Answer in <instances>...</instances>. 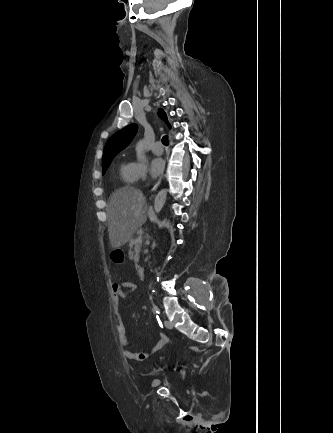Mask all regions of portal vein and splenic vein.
I'll return each mask as SVG.
<instances>
[{"instance_id":"1","label":"portal vein and splenic vein","mask_w":333,"mask_h":433,"mask_svg":"<svg viewBox=\"0 0 333 433\" xmlns=\"http://www.w3.org/2000/svg\"><path fill=\"white\" fill-rule=\"evenodd\" d=\"M136 241L139 242V243H141L142 242V237L141 236L137 237Z\"/></svg>"}]
</instances>
